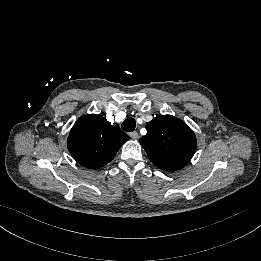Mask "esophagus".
Segmentation results:
<instances>
[{
  "instance_id": "esophagus-1",
  "label": "esophagus",
  "mask_w": 261,
  "mask_h": 261,
  "mask_svg": "<svg viewBox=\"0 0 261 261\" xmlns=\"http://www.w3.org/2000/svg\"><path fill=\"white\" fill-rule=\"evenodd\" d=\"M130 137L134 140L138 139L139 138V134L137 131H134V132H131L130 134Z\"/></svg>"
}]
</instances>
